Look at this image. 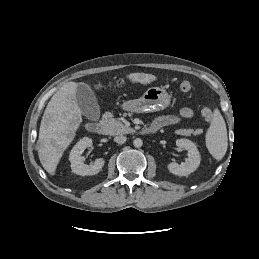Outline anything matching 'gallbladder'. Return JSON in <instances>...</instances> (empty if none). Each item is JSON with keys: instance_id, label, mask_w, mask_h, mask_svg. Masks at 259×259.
I'll return each mask as SVG.
<instances>
[{"instance_id": "gallbladder-1", "label": "gallbladder", "mask_w": 259, "mask_h": 259, "mask_svg": "<svg viewBox=\"0 0 259 259\" xmlns=\"http://www.w3.org/2000/svg\"><path fill=\"white\" fill-rule=\"evenodd\" d=\"M76 101L82 114L91 121H97L100 118V107L97 98L85 83H79L76 88Z\"/></svg>"}]
</instances>
